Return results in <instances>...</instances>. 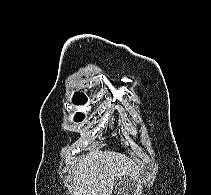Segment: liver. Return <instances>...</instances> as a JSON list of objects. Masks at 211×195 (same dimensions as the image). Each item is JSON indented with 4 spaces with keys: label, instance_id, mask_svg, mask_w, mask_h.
<instances>
[{
    "label": "liver",
    "instance_id": "1",
    "mask_svg": "<svg viewBox=\"0 0 211 195\" xmlns=\"http://www.w3.org/2000/svg\"><path fill=\"white\" fill-rule=\"evenodd\" d=\"M140 171L136 161L125 154L90 151L73 170L71 195H112L115 180L125 176L138 180ZM126 192V195H138L134 191Z\"/></svg>",
    "mask_w": 211,
    "mask_h": 195
}]
</instances>
